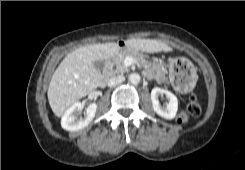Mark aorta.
Wrapping results in <instances>:
<instances>
[{
    "label": "aorta",
    "mask_w": 245,
    "mask_h": 170,
    "mask_svg": "<svg viewBox=\"0 0 245 170\" xmlns=\"http://www.w3.org/2000/svg\"><path fill=\"white\" fill-rule=\"evenodd\" d=\"M129 81L132 84H138L141 81V77L137 73H132V74L129 75Z\"/></svg>",
    "instance_id": "762f6f07"
}]
</instances>
